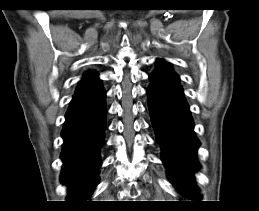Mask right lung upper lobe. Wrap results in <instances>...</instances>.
I'll list each match as a JSON object with an SVG mask.
<instances>
[{
    "label": "right lung upper lobe",
    "instance_id": "right-lung-upper-lobe-1",
    "mask_svg": "<svg viewBox=\"0 0 259 211\" xmlns=\"http://www.w3.org/2000/svg\"><path fill=\"white\" fill-rule=\"evenodd\" d=\"M97 83H99L97 73L96 72H87V73H85L84 77L80 81L75 94L84 92V91L88 90L89 88L95 86Z\"/></svg>",
    "mask_w": 259,
    "mask_h": 211
}]
</instances>
